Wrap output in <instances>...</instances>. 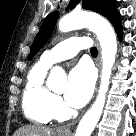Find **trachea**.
<instances>
[{
  "label": "trachea",
  "mask_w": 136,
  "mask_h": 136,
  "mask_svg": "<svg viewBox=\"0 0 136 136\" xmlns=\"http://www.w3.org/2000/svg\"><path fill=\"white\" fill-rule=\"evenodd\" d=\"M90 52L93 56H97L98 51L96 48H92Z\"/></svg>",
  "instance_id": "3493384b"
}]
</instances>
